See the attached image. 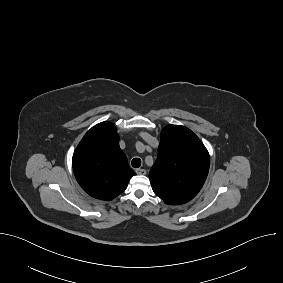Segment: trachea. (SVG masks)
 Segmentation results:
<instances>
[{"label": "trachea", "instance_id": "1", "mask_svg": "<svg viewBox=\"0 0 283 283\" xmlns=\"http://www.w3.org/2000/svg\"><path fill=\"white\" fill-rule=\"evenodd\" d=\"M131 164L134 168H139L141 166V159L140 158H134L131 161Z\"/></svg>", "mask_w": 283, "mask_h": 283}]
</instances>
